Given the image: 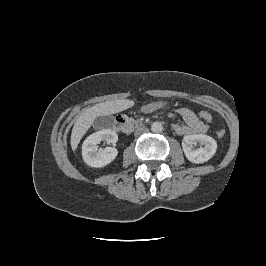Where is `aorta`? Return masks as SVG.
Returning <instances> with one entry per match:
<instances>
[{
	"instance_id": "762f6f07",
	"label": "aorta",
	"mask_w": 266,
	"mask_h": 266,
	"mask_svg": "<svg viewBox=\"0 0 266 266\" xmlns=\"http://www.w3.org/2000/svg\"><path fill=\"white\" fill-rule=\"evenodd\" d=\"M162 130H163V125L161 122L156 121V122H153L151 124V131L152 132L160 133V132H162Z\"/></svg>"
}]
</instances>
